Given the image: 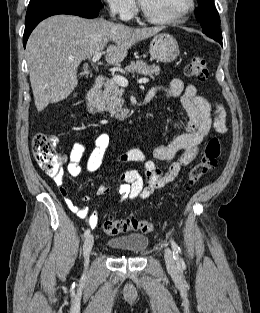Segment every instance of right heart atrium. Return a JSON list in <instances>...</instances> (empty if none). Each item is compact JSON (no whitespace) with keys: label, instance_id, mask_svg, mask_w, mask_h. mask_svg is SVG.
<instances>
[{"label":"right heart atrium","instance_id":"right-heart-atrium-1","mask_svg":"<svg viewBox=\"0 0 260 313\" xmlns=\"http://www.w3.org/2000/svg\"><path fill=\"white\" fill-rule=\"evenodd\" d=\"M109 12L121 19L129 18L135 9L133 0H104Z\"/></svg>","mask_w":260,"mask_h":313}]
</instances>
